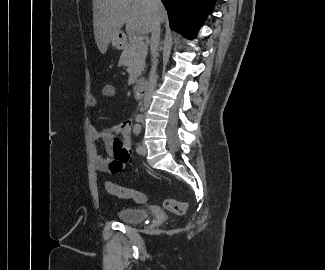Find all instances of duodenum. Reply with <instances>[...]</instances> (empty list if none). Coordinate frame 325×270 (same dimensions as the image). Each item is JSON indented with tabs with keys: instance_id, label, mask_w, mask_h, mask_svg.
Listing matches in <instances>:
<instances>
[{
	"instance_id": "duodenum-1",
	"label": "duodenum",
	"mask_w": 325,
	"mask_h": 270,
	"mask_svg": "<svg viewBox=\"0 0 325 270\" xmlns=\"http://www.w3.org/2000/svg\"><path fill=\"white\" fill-rule=\"evenodd\" d=\"M147 81L145 79H140L136 82L133 89V96L136 100H141L146 92Z\"/></svg>"
}]
</instances>
